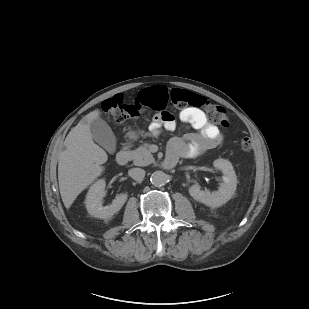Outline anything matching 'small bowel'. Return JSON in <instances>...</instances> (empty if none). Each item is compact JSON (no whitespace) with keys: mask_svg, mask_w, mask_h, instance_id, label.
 <instances>
[{"mask_svg":"<svg viewBox=\"0 0 309 309\" xmlns=\"http://www.w3.org/2000/svg\"><path fill=\"white\" fill-rule=\"evenodd\" d=\"M180 120L195 129L196 133L188 134L182 138L175 137L171 139L168 144L166 160L176 162L179 158L196 157L220 143L221 135L218 128L207 121L205 114L201 110L185 109L180 113ZM161 126L173 130L176 121L170 114L163 120L157 116L150 124V133L157 135Z\"/></svg>","mask_w":309,"mask_h":309,"instance_id":"obj_1","label":"small bowel"}]
</instances>
